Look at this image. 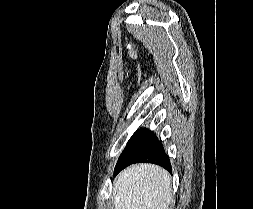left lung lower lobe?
I'll return each instance as SVG.
<instances>
[{
    "label": "left lung lower lobe",
    "mask_w": 253,
    "mask_h": 209,
    "mask_svg": "<svg viewBox=\"0 0 253 209\" xmlns=\"http://www.w3.org/2000/svg\"><path fill=\"white\" fill-rule=\"evenodd\" d=\"M136 163H153L165 168L170 173L172 167L168 155L165 153L164 147L158 139L148 146L144 151L135 156H126L123 159H119L115 169L114 176H116L121 170L127 166Z\"/></svg>",
    "instance_id": "left-lung-lower-lobe-1"
}]
</instances>
